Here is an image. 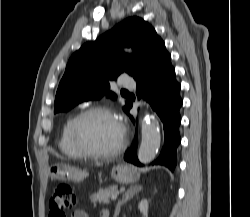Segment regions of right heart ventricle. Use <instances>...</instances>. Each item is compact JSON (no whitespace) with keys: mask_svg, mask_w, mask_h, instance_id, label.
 <instances>
[{"mask_svg":"<svg viewBox=\"0 0 250 217\" xmlns=\"http://www.w3.org/2000/svg\"><path fill=\"white\" fill-rule=\"evenodd\" d=\"M73 118L74 117L68 118L63 124L58 145L59 149L65 156L72 159H80L83 157V155L73 145L70 137V126Z\"/></svg>","mask_w":250,"mask_h":217,"instance_id":"right-heart-ventricle-1","label":"right heart ventricle"}]
</instances>
